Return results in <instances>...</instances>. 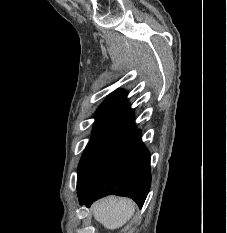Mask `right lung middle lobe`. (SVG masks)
Instances as JSON below:
<instances>
[{"instance_id": "obj_1", "label": "right lung middle lobe", "mask_w": 227, "mask_h": 233, "mask_svg": "<svg viewBox=\"0 0 227 233\" xmlns=\"http://www.w3.org/2000/svg\"><path fill=\"white\" fill-rule=\"evenodd\" d=\"M118 139L119 137L115 135L97 134L91 138L79 163L77 186L82 182L102 154Z\"/></svg>"}]
</instances>
